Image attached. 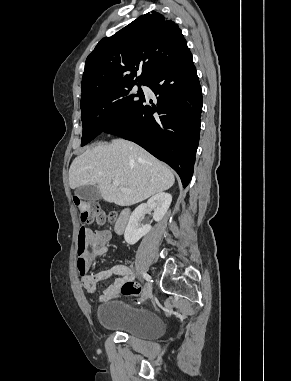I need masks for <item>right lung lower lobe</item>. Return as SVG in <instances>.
Here are the masks:
<instances>
[{
	"label": "right lung lower lobe",
	"mask_w": 291,
	"mask_h": 381,
	"mask_svg": "<svg viewBox=\"0 0 291 381\" xmlns=\"http://www.w3.org/2000/svg\"><path fill=\"white\" fill-rule=\"evenodd\" d=\"M157 103H143L129 117L104 132L133 141L166 162L186 187L194 170L200 136L202 93L186 47L147 82ZM151 103V102H150Z\"/></svg>",
	"instance_id": "1"
}]
</instances>
